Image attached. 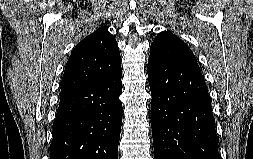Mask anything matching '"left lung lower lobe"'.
Listing matches in <instances>:
<instances>
[{"instance_id": "1", "label": "left lung lower lobe", "mask_w": 253, "mask_h": 159, "mask_svg": "<svg viewBox=\"0 0 253 159\" xmlns=\"http://www.w3.org/2000/svg\"><path fill=\"white\" fill-rule=\"evenodd\" d=\"M148 79L155 159H221L198 64L149 57Z\"/></svg>"}]
</instances>
